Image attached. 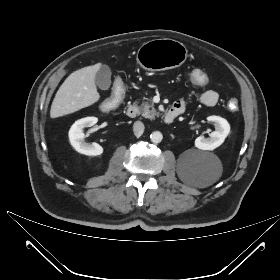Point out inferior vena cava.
<instances>
[{"label": "inferior vena cava", "mask_w": 280, "mask_h": 280, "mask_svg": "<svg viewBox=\"0 0 280 280\" xmlns=\"http://www.w3.org/2000/svg\"><path fill=\"white\" fill-rule=\"evenodd\" d=\"M133 131L135 136H141L144 132V124L141 121L134 122Z\"/></svg>", "instance_id": "1"}]
</instances>
